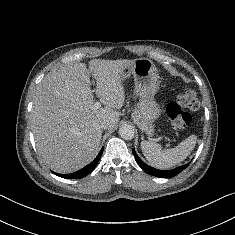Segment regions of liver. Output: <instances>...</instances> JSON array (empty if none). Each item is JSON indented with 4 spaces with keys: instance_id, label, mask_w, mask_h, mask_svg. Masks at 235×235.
<instances>
[{
    "instance_id": "1",
    "label": "liver",
    "mask_w": 235,
    "mask_h": 235,
    "mask_svg": "<svg viewBox=\"0 0 235 235\" xmlns=\"http://www.w3.org/2000/svg\"><path fill=\"white\" fill-rule=\"evenodd\" d=\"M134 60L93 59L63 66L38 84L33 99L31 125L43 161L54 171L71 173L97 155L101 123L114 129L125 101L121 71ZM91 75L97 87L91 88ZM96 93L104 108H94Z\"/></svg>"
}]
</instances>
